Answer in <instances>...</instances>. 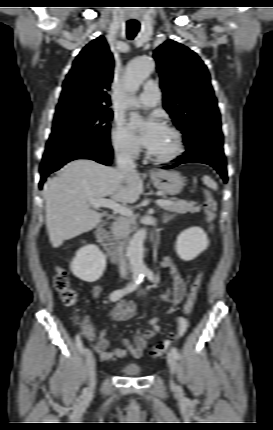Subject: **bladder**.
<instances>
[{
	"label": "bladder",
	"instance_id": "1",
	"mask_svg": "<svg viewBox=\"0 0 273 430\" xmlns=\"http://www.w3.org/2000/svg\"><path fill=\"white\" fill-rule=\"evenodd\" d=\"M122 373L126 376H138L141 373V368L137 364H129L122 369Z\"/></svg>",
	"mask_w": 273,
	"mask_h": 430
}]
</instances>
